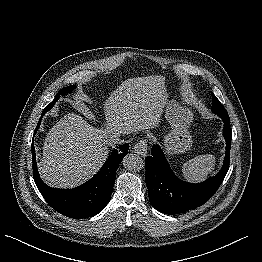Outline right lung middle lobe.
Returning a JSON list of instances; mask_svg holds the SVG:
<instances>
[{
  "label": "right lung middle lobe",
  "instance_id": "1",
  "mask_svg": "<svg viewBox=\"0 0 262 262\" xmlns=\"http://www.w3.org/2000/svg\"><path fill=\"white\" fill-rule=\"evenodd\" d=\"M75 89V85H71V86H67V87H64L63 89H61L58 94L56 95L55 99L50 103L48 104L46 107H45V110L46 111H49L53 106L54 104L56 103V101L59 99V97L61 95H64L66 93H71L73 90Z\"/></svg>",
  "mask_w": 262,
  "mask_h": 262
}]
</instances>
